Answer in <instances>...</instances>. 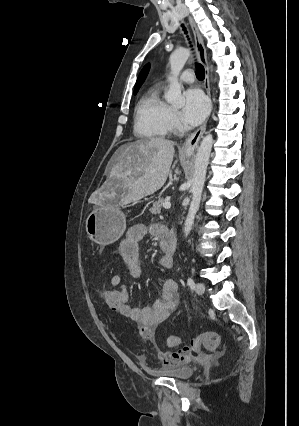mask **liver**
<instances>
[{
	"instance_id": "6515ba94",
	"label": "liver",
	"mask_w": 299,
	"mask_h": 426,
	"mask_svg": "<svg viewBox=\"0 0 299 426\" xmlns=\"http://www.w3.org/2000/svg\"><path fill=\"white\" fill-rule=\"evenodd\" d=\"M174 153V142L158 137L121 146L106 184L107 192L103 195L108 198L116 196L114 190L120 184L124 189L121 204L155 193L167 180Z\"/></svg>"
}]
</instances>
